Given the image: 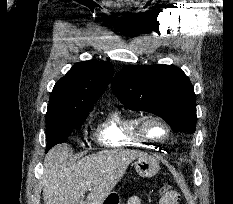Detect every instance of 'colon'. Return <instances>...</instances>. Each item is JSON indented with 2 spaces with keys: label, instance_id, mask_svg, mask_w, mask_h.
I'll use <instances>...</instances> for the list:
<instances>
[{
  "label": "colon",
  "instance_id": "colon-1",
  "mask_svg": "<svg viewBox=\"0 0 233 204\" xmlns=\"http://www.w3.org/2000/svg\"><path fill=\"white\" fill-rule=\"evenodd\" d=\"M179 194L171 184H164L160 189L159 204H177Z\"/></svg>",
  "mask_w": 233,
  "mask_h": 204
}]
</instances>
